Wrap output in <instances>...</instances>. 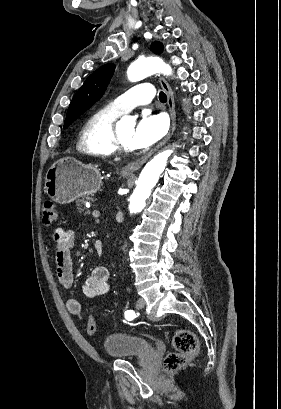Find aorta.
I'll return each mask as SVG.
<instances>
[{
	"mask_svg": "<svg viewBox=\"0 0 281 409\" xmlns=\"http://www.w3.org/2000/svg\"><path fill=\"white\" fill-rule=\"evenodd\" d=\"M155 73L170 75L172 69L162 59L158 57L142 58L134 61L127 70L128 79L131 82L140 81ZM121 126L134 127L135 121L130 116L121 119ZM172 151H163L157 154L143 168L137 186L130 197V213L140 212L146 204V199L150 196L152 188L156 185L159 176L163 173L168 157Z\"/></svg>",
	"mask_w": 281,
	"mask_h": 409,
	"instance_id": "aorta-1",
	"label": "aorta"
}]
</instances>
